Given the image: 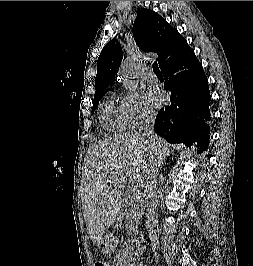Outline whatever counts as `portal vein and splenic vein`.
<instances>
[{"label": "portal vein and splenic vein", "mask_w": 253, "mask_h": 266, "mask_svg": "<svg viewBox=\"0 0 253 266\" xmlns=\"http://www.w3.org/2000/svg\"><path fill=\"white\" fill-rule=\"evenodd\" d=\"M132 192H133V194H135V193H138L139 191H138L137 188L134 187V188L132 189Z\"/></svg>", "instance_id": "1"}]
</instances>
